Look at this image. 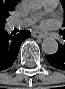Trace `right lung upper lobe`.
<instances>
[{
    "label": "right lung upper lobe",
    "mask_w": 65,
    "mask_h": 89,
    "mask_svg": "<svg viewBox=\"0 0 65 89\" xmlns=\"http://www.w3.org/2000/svg\"><path fill=\"white\" fill-rule=\"evenodd\" d=\"M18 0H0V15H8L14 10Z\"/></svg>",
    "instance_id": "1"
}]
</instances>
